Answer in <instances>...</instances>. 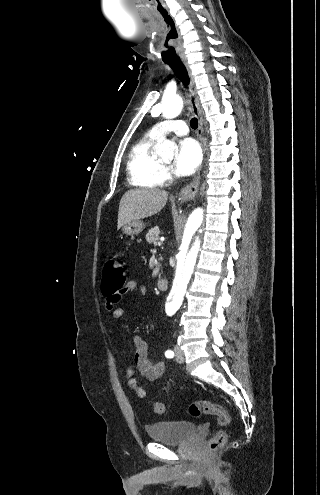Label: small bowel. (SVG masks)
Wrapping results in <instances>:
<instances>
[{
	"label": "small bowel",
	"mask_w": 320,
	"mask_h": 495,
	"mask_svg": "<svg viewBox=\"0 0 320 495\" xmlns=\"http://www.w3.org/2000/svg\"><path fill=\"white\" fill-rule=\"evenodd\" d=\"M146 287L141 284H137L134 281L127 282L122 292H112L105 294L106 296V309L111 312L112 318L115 321H119L124 315V308L118 307V304L123 295L135 292L139 295L146 294ZM131 340L135 347L134 362L135 368L129 367L126 370L128 377V386L130 389L136 392L139 397H144L146 392L139 386L138 380L134 377L136 373H139L142 377L149 381H154L161 378L166 370L165 363L162 361L153 360L149 355V347L147 342L138 334H132Z\"/></svg>",
	"instance_id": "small-bowel-1"
}]
</instances>
